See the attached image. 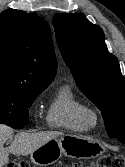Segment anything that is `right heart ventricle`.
Wrapping results in <instances>:
<instances>
[{"instance_id":"e07e8e85","label":"right heart ventricle","mask_w":125,"mask_h":167,"mask_svg":"<svg viewBox=\"0 0 125 167\" xmlns=\"http://www.w3.org/2000/svg\"><path fill=\"white\" fill-rule=\"evenodd\" d=\"M85 107L70 86L63 85L49 102L45 118L46 124L52 128L85 131L89 128L83 118Z\"/></svg>"}]
</instances>
